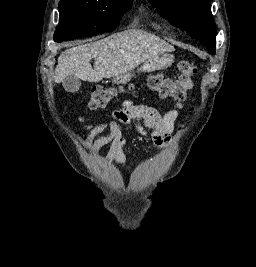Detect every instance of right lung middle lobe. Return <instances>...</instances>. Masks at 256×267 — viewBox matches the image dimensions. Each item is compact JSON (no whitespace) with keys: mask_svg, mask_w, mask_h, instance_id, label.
<instances>
[{"mask_svg":"<svg viewBox=\"0 0 256 267\" xmlns=\"http://www.w3.org/2000/svg\"><path fill=\"white\" fill-rule=\"evenodd\" d=\"M132 0H61L56 42L110 31L119 25Z\"/></svg>","mask_w":256,"mask_h":267,"instance_id":"dd1d6c3e","label":"right lung middle lobe"}]
</instances>
